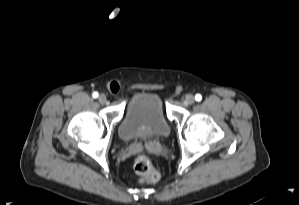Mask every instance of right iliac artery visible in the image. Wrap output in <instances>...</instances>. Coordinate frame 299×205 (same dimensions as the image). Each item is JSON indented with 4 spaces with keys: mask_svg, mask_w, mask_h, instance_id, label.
I'll use <instances>...</instances> for the list:
<instances>
[{
    "mask_svg": "<svg viewBox=\"0 0 299 205\" xmlns=\"http://www.w3.org/2000/svg\"><path fill=\"white\" fill-rule=\"evenodd\" d=\"M92 96H93V98H97L98 97V92H93Z\"/></svg>",
    "mask_w": 299,
    "mask_h": 205,
    "instance_id": "82829eb1",
    "label": "right iliac artery"
}]
</instances>
